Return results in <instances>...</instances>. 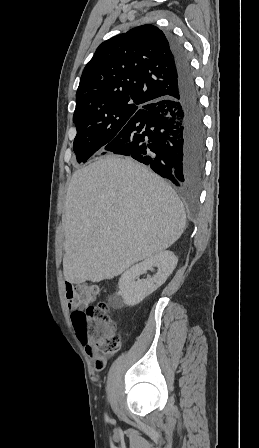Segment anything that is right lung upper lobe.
Segmentation results:
<instances>
[{"instance_id":"1","label":"right lung upper lobe","mask_w":259,"mask_h":448,"mask_svg":"<svg viewBox=\"0 0 259 448\" xmlns=\"http://www.w3.org/2000/svg\"><path fill=\"white\" fill-rule=\"evenodd\" d=\"M178 76L167 36L142 25L103 42L84 68L74 115L145 107L172 95Z\"/></svg>"}]
</instances>
